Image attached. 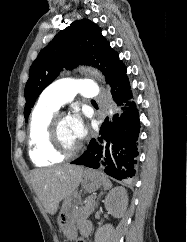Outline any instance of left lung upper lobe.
<instances>
[{"mask_svg":"<svg viewBox=\"0 0 187 242\" xmlns=\"http://www.w3.org/2000/svg\"><path fill=\"white\" fill-rule=\"evenodd\" d=\"M78 65H92L101 70L109 86L126 74L125 65L102 36L101 29L87 19L75 21L41 50L30 67L25 86L26 121L40 93L61 70Z\"/></svg>","mask_w":187,"mask_h":242,"instance_id":"1","label":"left lung upper lobe"}]
</instances>
